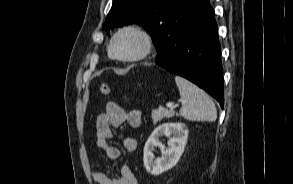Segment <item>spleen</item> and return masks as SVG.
I'll list each match as a JSON object with an SVG mask.
<instances>
[{"label": "spleen", "instance_id": "spleen-1", "mask_svg": "<svg viewBox=\"0 0 293 184\" xmlns=\"http://www.w3.org/2000/svg\"><path fill=\"white\" fill-rule=\"evenodd\" d=\"M176 85L179 89L184 105L180 109V115L190 121H215L217 110L212 99L199 87L187 79L176 76Z\"/></svg>", "mask_w": 293, "mask_h": 184}]
</instances>
